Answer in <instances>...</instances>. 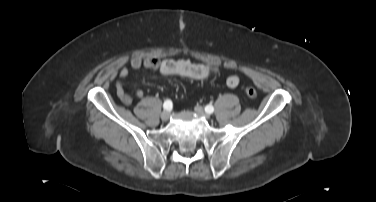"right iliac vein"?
Returning a JSON list of instances; mask_svg holds the SVG:
<instances>
[{
  "label": "right iliac vein",
  "instance_id": "1",
  "mask_svg": "<svg viewBox=\"0 0 376 202\" xmlns=\"http://www.w3.org/2000/svg\"><path fill=\"white\" fill-rule=\"evenodd\" d=\"M161 119L162 121H167L170 117V112L168 110H164L162 113H161Z\"/></svg>",
  "mask_w": 376,
  "mask_h": 202
}]
</instances>
